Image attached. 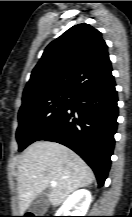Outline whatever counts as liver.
I'll return each mask as SVG.
<instances>
[{
    "mask_svg": "<svg viewBox=\"0 0 132 217\" xmlns=\"http://www.w3.org/2000/svg\"><path fill=\"white\" fill-rule=\"evenodd\" d=\"M93 180L91 168L66 146L50 141L34 142L19 160V214H24L47 188L50 203L58 206L75 190L88 186ZM51 181L57 185L51 186Z\"/></svg>",
    "mask_w": 132,
    "mask_h": 217,
    "instance_id": "1",
    "label": "liver"
}]
</instances>
